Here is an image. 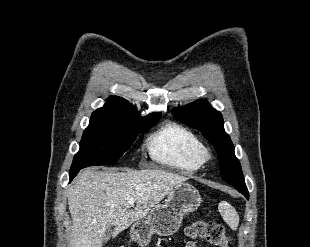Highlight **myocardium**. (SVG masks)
Returning a JSON list of instances; mask_svg holds the SVG:
<instances>
[{
  "label": "myocardium",
  "mask_w": 310,
  "mask_h": 247,
  "mask_svg": "<svg viewBox=\"0 0 310 247\" xmlns=\"http://www.w3.org/2000/svg\"><path fill=\"white\" fill-rule=\"evenodd\" d=\"M211 158H212V155L209 152V150H207L206 148L204 150H202V152L199 155V159H200L201 163L208 162Z\"/></svg>",
  "instance_id": "1"
}]
</instances>
